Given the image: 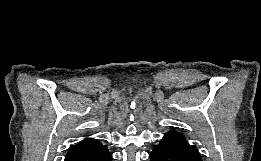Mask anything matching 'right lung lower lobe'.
I'll use <instances>...</instances> for the list:
<instances>
[{
    "instance_id": "98d812e1",
    "label": "right lung lower lobe",
    "mask_w": 261,
    "mask_h": 161,
    "mask_svg": "<svg viewBox=\"0 0 261 161\" xmlns=\"http://www.w3.org/2000/svg\"><path fill=\"white\" fill-rule=\"evenodd\" d=\"M64 161H112L106 145H96L83 150L69 151Z\"/></svg>"
}]
</instances>
